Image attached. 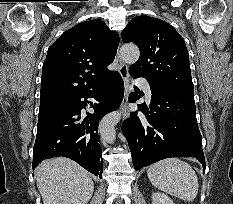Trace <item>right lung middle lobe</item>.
I'll return each instance as SVG.
<instances>
[{"label":"right lung middle lobe","mask_w":233,"mask_h":204,"mask_svg":"<svg viewBox=\"0 0 233 204\" xmlns=\"http://www.w3.org/2000/svg\"><path fill=\"white\" fill-rule=\"evenodd\" d=\"M68 103L69 99L41 103L39 109L38 122L55 115L56 113L67 107Z\"/></svg>","instance_id":"dd1d6c3e"}]
</instances>
